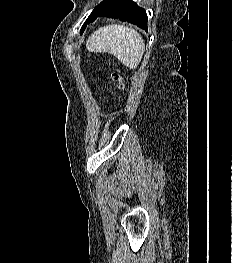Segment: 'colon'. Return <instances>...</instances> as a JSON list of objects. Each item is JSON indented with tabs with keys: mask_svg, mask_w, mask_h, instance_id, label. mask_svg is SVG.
Segmentation results:
<instances>
[{
	"mask_svg": "<svg viewBox=\"0 0 233 263\" xmlns=\"http://www.w3.org/2000/svg\"><path fill=\"white\" fill-rule=\"evenodd\" d=\"M112 78L117 82L118 88L120 90L124 89V80L120 74V71L117 69L112 73Z\"/></svg>",
	"mask_w": 233,
	"mask_h": 263,
	"instance_id": "5ec220e1",
	"label": "colon"
}]
</instances>
